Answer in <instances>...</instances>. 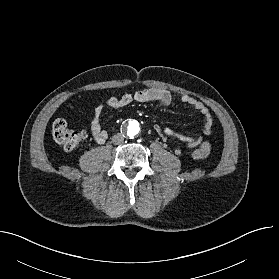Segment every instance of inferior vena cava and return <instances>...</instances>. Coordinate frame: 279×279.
Returning <instances> with one entry per match:
<instances>
[{
	"instance_id": "inferior-vena-cava-1",
	"label": "inferior vena cava",
	"mask_w": 279,
	"mask_h": 279,
	"mask_svg": "<svg viewBox=\"0 0 279 279\" xmlns=\"http://www.w3.org/2000/svg\"><path fill=\"white\" fill-rule=\"evenodd\" d=\"M112 142L116 145L122 144L124 142V135L117 133L112 137Z\"/></svg>"
}]
</instances>
